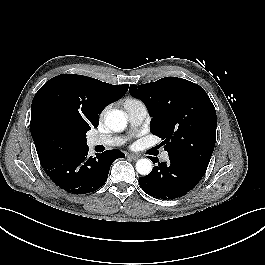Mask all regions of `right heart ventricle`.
<instances>
[{
    "mask_svg": "<svg viewBox=\"0 0 265 265\" xmlns=\"http://www.w3.org/2000/svg\"><path fill=\"white\" fill-rule=\"evenodd\" d=\"M129 102H138V100H136V99H127L125 101V103H129Z\"/></svg>",
    "mask_w": 265,
    "mask_h": 265,
    "instance_id": "1",
    "label": "right heart ventricle"
}]
</instances>
